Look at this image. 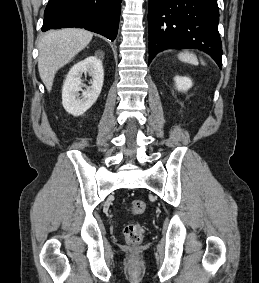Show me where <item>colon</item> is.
I'll return each instance as SVG.
<instances>
[{
    "label": "colon",
    "mask_w": 259,
    "mask_h": 283,
    "mask_svg": "<svg viewBox=\"0 0 259 283\" xmlns=\"http://www.w3.org/2000/svg\"><path fill=\"white\" fill-rule=\"evenodd\" d=\"M146 209V204L143 200L135 199L130 203V212L134 215L143 214ZM144 236V228L138 223H132L125 227V241L130 245H139Z\"/></svg>",
    "instance_id": "1"
}]
</instances>
